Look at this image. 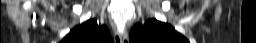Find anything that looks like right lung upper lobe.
Returning a JSON list of instances; mask_svg holds the SVG:
<instances>
[{
    "instance_id": "1",
    "label": "right lung upper lobe",
    "mask_w": 256,
    "mask_h": 43,
    "mask_svg": "<svg viewBox=\"0 0 256 43\" xmlns=\"http://www.w3.org/2000/svg\"><path fill=\"white\" fill-rule=\"evenodd\" d=\"M61 43H113L106 26L98 25L96 19L75 27Z\"/></svg>"
}]
</instances>
